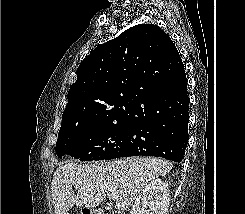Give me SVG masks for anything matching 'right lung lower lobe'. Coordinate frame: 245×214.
Here are the masks:
<instances>
[{
	"label": "right lung lower lobe",
	"mask_w": 245,
	"mask_h": 214,
	"mask_svg": "<svg viewBox=\"0 0 245 214\" xmlns=\"http://www.w3.org/2000/svg\"><path fill=\"white\" fill-rule=\"evenodd\" d=\"M177 56V61H182L179 52ZM179 73L171 86L154 93L135 112L126 143L116 158L159 156L176 162L184 159L189 139V97L185 70Z\"/></svg>",
	"instance_id": "obj_1"
}]
</instances>
